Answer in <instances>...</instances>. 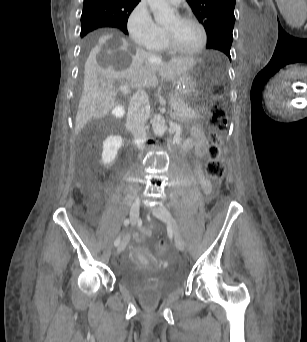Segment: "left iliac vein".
Returning a JSON list of instances; mask_svg holds the SVG:
<instances>
[{"label": "left iliac vein", "mask_w": 307, "mask_h": 342, "mask_svg": "<svg viewBox=\"0 0 307 342\" xmlns=\"http://www.w3.org/2000/svg\"><path fill=\"white\" fill-rule=\"evenodd\" d=\"M151 212L160 220L166 222L171 229L174 232V240H175V245L176 247L180 250L183 251L185 249V242L179 232L177 223L175 219L172 217L170 211L165 208L164 206H160L159 208H153L151 209Z\"/></svg>", "instance_id": "obj_1"}]
</instances>
